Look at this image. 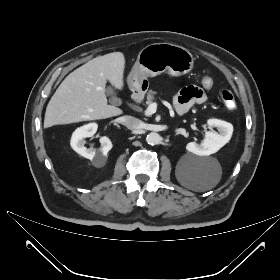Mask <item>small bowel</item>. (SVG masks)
I'll use <instances>...</instances> for the list:
<instances>
[{
	"mask_svg": "<svg viewBox=\"0 0 280 280\" xmlns=\"http://www.w3.org/2000/svg\"><path fill=\"white\" fill-rule=\"evenodd\" d=\"M206 101L207 94L204 90L189 86L175 97V109L179 114H184L194 105L203 104Z\"/></svg>",
	"mask_w": 280,
	"mask_h": 280,
	"instance_id": "obj_1",
	"label": "small bowel"
}]
</instances>
